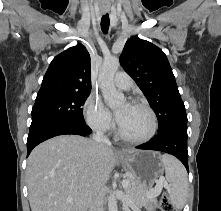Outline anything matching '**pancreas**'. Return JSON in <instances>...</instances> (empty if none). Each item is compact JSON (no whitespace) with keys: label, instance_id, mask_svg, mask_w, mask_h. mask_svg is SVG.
<instances>
[{"label":"pancreas","instance_id":"cf45deb5","mask_svg":"<svg viewBox=\"0 0 221 211\" xmlns=\"http://www.w3.org/2000/svg\"><path fill=\"white\" fill-rule=\"evenodd\" d=\"M129 181V185L125 188V193L130 200L131 205H138V206H146V205H153L155 207L158 206L156 199L150 198L146 195L151 189H144L143 186L138 183L137 181L127 178Z\"/></svg>","mask_w":221,"mask_h":211}]
</instances>
